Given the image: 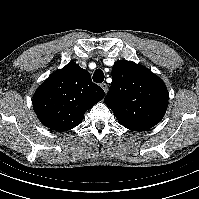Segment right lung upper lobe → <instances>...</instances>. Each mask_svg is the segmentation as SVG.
I'll use <instances>...</instances> for the list:
<instances>
[{
  "mask_svg": "<svg viewBox=\"0 0 199 199\" xmlns=\"http://www.w3.org/2000/svg\"><path fill=\"white\" fill-rule=\"evenodd\" d=\"M104 95L88 71L69 63L51 74L35 91L33 109L43 125L63 132L80 124L85 112Z\"/></svg>",
  "mask_w": 199,
  "mask_h": 199,
  "instance_id": "1",
  "label": "right lung upper lobe"
}]
</instances>
